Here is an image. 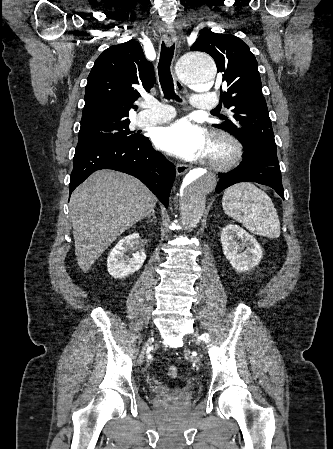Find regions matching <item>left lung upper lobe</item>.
<instances>
[{
    "mask_svg": "<svg viewBox=\"0 0 333 449\" xmlns=\"http://www.w3.org/2000/svg\"><path fill=\"white\" fill-rule=\"evenodd\" d=\"M191 50L211 55L218 72L223 74V85H227L223 96L221 92V101L233 114L219 116L224 122L214 126L234 135L243 145L247 158L278 161L258 64L248 45L234 35L204 30Z\"/></svg>",
    "mask_w": 333,
    "mask_h": 449,
    "instance_id": "left-lung-upper-lobe-1",
    "label": "left lung upper lobe"
}]
</instances>
